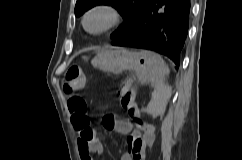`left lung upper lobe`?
I'll list each match as a JSON object with an SVG mask.
<instances>
[{
    "label": "left lung upper lobe",
    "instance_id": "5c2ea615",
    "mask_svg": "<svg viewBox=\"0 0 242 160\" xmlns=\"http://www.w3.org/2000/svg\"><path fill=\"white\" fill-rule=\"evenodd\" d=\"M147 2L148 0H77L74 11L76 16H80L85 11L100 4L111 5L116 8L124 19L121 27L111 35V38L116 40L131 31L133 24L142 14Z\"/></svg>",
    "mask_w": 242,
    "mask_h": 160
}]
</instances>
